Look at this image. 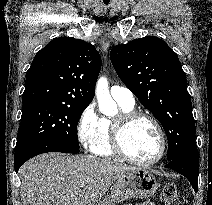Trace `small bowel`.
<instances>
[{
    "label": "small bowel",
    "instance_id": "1",
    "mask_svg": "<svg viewBox=\"0 0 212 205\" xmlns=\"http://www.w3.org/2000/svg\"><path fill=\"white\" fill-rule=\"evenodd\" d=\"M126 205H130V204H126ZM137 205H155L153 203H140V204H137Z\"/></svg>",
    "mask_w": 212,
    "mask_h": 205
}]
</instances>
